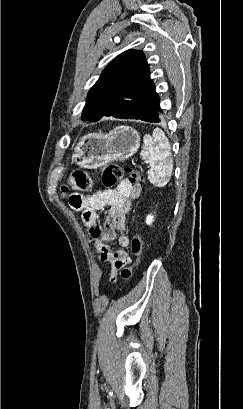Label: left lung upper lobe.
I'll return each mask as SVG.
<instances>
[{"label":"left lung upper lobe","instance_id":"1","mask_svg":"<svg viewBox=\"0 0 243 409\" xmlns=\"http://www.w3.org/2000/svg\"><path fill=\"white\" fill-rule=\"evenodd\" d=\"M154 89L144 54L127 50L103 70L88 93L81 118L95 122L107 112L121 115L127 105L141 101Z\"/></svg>","mask_w":243,"mask_h":409}]
</instances>
